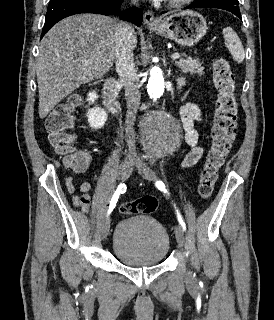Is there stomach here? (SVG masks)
<instances>
[{
    "mask_svg": "<svg viewBox=\"0 0 274 320\" xmlns=\"http://www.w3.org/2000/svg\"><path fill=\"white\" fill-rule=\"evenodd\" d=\"M160 22L161 26H153L149 30L163 38L175 40L181 46H195L208 30L205 18L192 10L160 18Z\"/></svg>",
    "mask_w": 274,
    "mask_h": 320,
    "instance_id": "obj_1",
    "label": "stomach"
}]
</instances>
